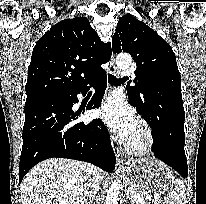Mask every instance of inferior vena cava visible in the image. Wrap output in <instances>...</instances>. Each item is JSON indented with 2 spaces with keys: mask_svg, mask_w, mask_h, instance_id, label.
I'll return each instance as SVG.
<instances>
[{
  "mask_svg": "<svg viewBox=\"0 0 206 204\" xmlns=\"http://www.w3.org/2000/svg\"><path fill=\"white\" fill-rule=\"evenodd\" d=\"M88 168L91 172V177L87 183V198L85 201L89 200L90 202H92L100 188L101 170L98 167L91 164L88 165Z\"/></svg>",
  "mask_w": 206,
  "mask_h": 204,
  "instance_id": "1",
  "label": "inferior vena cava"
}]
</instances>
